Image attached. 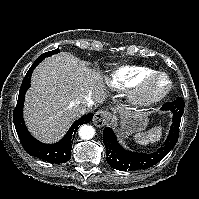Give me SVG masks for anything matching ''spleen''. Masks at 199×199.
Segmentation results:
<instances>
[{"label": "spleen", "mask_w": 199, "mask_h": 199, "mask_svg": "<svg viewBox=\"0 0 199 199\" xmlns=\"http://www.w3.org/2000/svg\"><path fill=\"white\" fill-rule=\"evenodd\" d=\"M162 131V127H154L150 129L147 133H137L134 137L139 145L146 146L149 143H156L160 141L162 137Z\"/></svg>", "instance_id": "obj_1"}]
</instances>
